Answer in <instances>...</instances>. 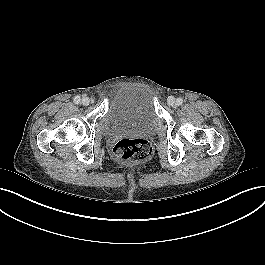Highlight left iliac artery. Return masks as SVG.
Here are the masks:
<instances>
[{
	"mask_svg": "<svg viewBox=\"0 0 265 265\" xmlns=\"http://www.w3.org/2000/svg\"><path fill=\"white\" fill-rule=\"evenodd\" d=\"M182 103H183V99L182 98H177V100H176V105H182Z\"/></svg>",
	"mask_w": 265,
	"mask_h": 265,
	"instance_id": "1",
	"label": "left iliac artery"
}]
</instances>
